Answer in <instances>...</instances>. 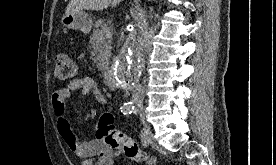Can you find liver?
<instances>
[{"label": "liver", "mask_w": 276, "mask_h": 165, "mask_svg": "<svg viewBox=\"0 0 276 165\" xmlns=\"http://www.w3.org/2000/svg\"><path fill=\"white\" fill-rule=\"evenodd\" d=\"M121 0H71L67 5L65 14L80 12L83 10L102 11L110 5L116 7Z\"/></svg>", "instance_id": "obj_1"}]
</instances>
